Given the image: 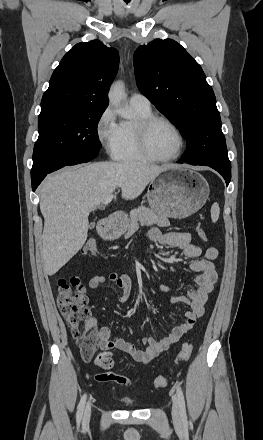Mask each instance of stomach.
Segmentation results:
<instances>
[{"mask_svg": "<svg viewBox=\"0 0 263 440\" xmlns=\"http://www.w3.org/2000/svg\"><path fill=\"white\" fill-rule=\"evenodd\" d=\"M209 192V185L202 175L185 167H172L151 182L147 200L156 214L184 219L206 203ZM126 224L123 221L119 227H114L109 238H118L126 229Z\"/></svg>", "mask_w": 263, "mask_h": 440, "instance_id": "1", "label": "stomach"}]
</instances>
